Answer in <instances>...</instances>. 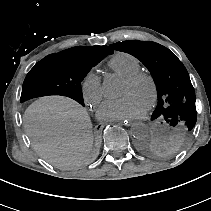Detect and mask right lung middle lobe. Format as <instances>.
<instances>
[{
	"label": "right lung middle lobe",
	"mask_w": 211,
	"mask_h": 211,
	"mask_svg": "<svg viewBox=\"0 0 211 211\" xmlns=\"http://www.w3.org/2000/svg\"><path fill=\"white\" fill-rule=\"evenodd\" d=\"M104 57L74 55L64 51L46 56L27 74L20 101L46 95H63L84 105L80 83Z\"/></svg>",
	"instance_id": "obj_1"
}]
</instances>
